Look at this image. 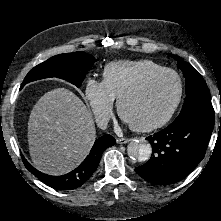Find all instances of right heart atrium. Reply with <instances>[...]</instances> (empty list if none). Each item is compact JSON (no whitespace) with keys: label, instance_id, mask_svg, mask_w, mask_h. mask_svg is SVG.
Wrapping results in <instances>:
<instances>
[{"label":"right heart atrium","instance_id":"d8ad5b80","mask_svg":"<svg viewBox=\"0 0 221 221\" xmlns=\"http://www.w3.org/2000/svg\"><path fill=\"white\" fill-rule=\"evenodd\" d=\"M85 99L100 124H105L113 114L115 98L103 81L87 79L84 87Z\"/></svg>","mask_w":221,"mask_h":221}]
</instances>
